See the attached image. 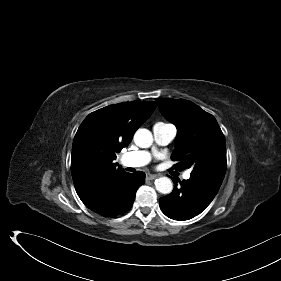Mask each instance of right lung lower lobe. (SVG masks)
<instances>
[{
    "instance_id": "1",
    "label": "right lung lower lobe",
    "mask_w": 281,
    "mask_h": 281,
    "mask_svg": "<svg viewBox=\"0 0 281 281\" xmlns=\"http://www.w3.org/2000/svg\"><path fill=\"white\" fill-rule=\"evenodd\" d=\"M144 182V172L130 174L121 170L97 183L80 196V199L95 213L104 217H115L131 208L136 191Z\"/></svg>"
}]
</instances>
